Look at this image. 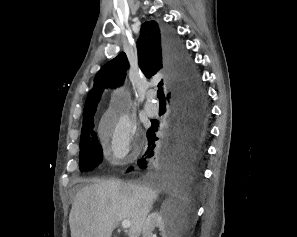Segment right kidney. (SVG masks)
<instances>
[{
    "label": "right kidney",
    "instance_id": "ca27d5eb",
    "mask_svg": "<svg viewBox=\"0 0 297 237\" xmlns=\"http://www.w3.org/2000/svg\"><path fill=\"white\" fill-rule=\"evenodd\" d=\"M156 227L159 228L163 237H168L165 230V221L159 212H153L147 217L143 225L142 236L156 237V235L153 234V230Z\"/></svg>",
    "mask_w": 297,
    "mask_h": 237
}]
</instances>
